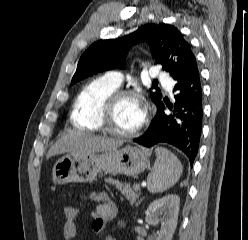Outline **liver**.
I'll return each mask as SVG.
<instances>
[{"instance_id": "1", "label": "liver", "mask_w": 248, "mask_h": 240, "mask_svg": "<svg viewBox=\"0 0 248 240\" xmlns=\"http://www.w3.org/2000/svg\"><path fill=\"white\" fill-rule=\"evenodd\" d=\"M122 140L94 136L82 132H72L61 137L48 151L47 158L61 154L71 153L83 155L110 151L122 146Z\"/></svg>"}]
</instances>
